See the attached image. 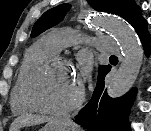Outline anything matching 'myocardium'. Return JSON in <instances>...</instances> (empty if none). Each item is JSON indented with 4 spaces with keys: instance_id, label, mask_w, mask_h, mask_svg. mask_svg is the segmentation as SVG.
I'll return each instance as SVG.
<instances>
[{
    "instance_id": "obj_1",
    "label": "myocardium",
    "mask_w": 151,
    "mask_h": 131,
    "mask_svg": "<svg viewBox=\"0 0 151 131\" xmlns=\"http://www.w3.org/2000/svg\"><path fill=\"white\" fill-rule=\"evenodd\" d=\"M55 65H64L70 68L72 67L71 63L67 59L56 54L51 55L42 60L40 63H38L31 70L26 83V97L29 104L34 110L49 115H61L73 111L78 106H80V104L84 100L85 95L84 86L81 85L79 92L77 93L75 98L69 101L68 103L59 107H51L46 105L40 99L37 93V83L38 80Z\"/></svg>"
}]
</instances>
